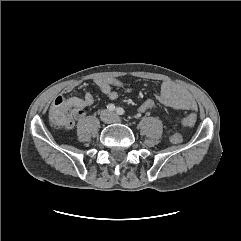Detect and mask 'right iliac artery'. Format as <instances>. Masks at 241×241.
Listing matches in <instances>:
<instances>
[{
    "mask_svg": "<svg viewBox=\"0 0 241 241\" xmlns=\"http://www.w3.org/2000/svg\"><path fill=\"white\" fill-rule=\"evenodd\" d=\"M107 109H108V111H114L115 110V106H114V104H109L108 106H107Z\"/></svg>",
    "mask_w": 241,
    "mask_h": 241,
    "instance_id": "82829eb1",
    "label": "right iliac artery"
}]
</instances>
